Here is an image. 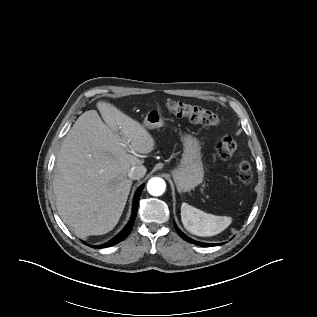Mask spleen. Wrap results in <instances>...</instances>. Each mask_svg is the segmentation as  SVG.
<instances>
[{
	"label": "spleen",
	"instance_id": "obj_1",
	"mask_svg": "<svg viewBox=\"0 0 317 317\" xmlns=\"http://www.w3.org/2000/svg\"><path fill=\"white\" fill-rule=\"evenodd\" d=\"M181 220L187 231L204 237L221 233L232 222L229 216L209 214L187 203L181 205Z\"/></svg>",
	"mask_w": 317,
	"mask_h": 317
}]
</instances>
